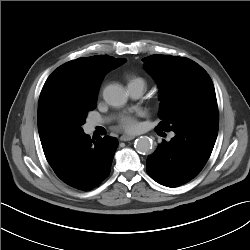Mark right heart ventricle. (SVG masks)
<instances>
[{
    "instance_id": "e07e8e85",
    "label": "right heart ventricle",
    "mask_w": 250,
    "mask_h": 250,
    "mask_svg": "<svg viewBox=\"0 0 250 250\" xmlns=\"http://www.w3.org/2000/svg\"><path fill=\"white\" fill-rule=\"evenodd\" d=\"M134 81H141V82H143V80L140 77H137V76H134V75L130 76L129 77V82H134Z\"/></svg>"
}]
</instances>
